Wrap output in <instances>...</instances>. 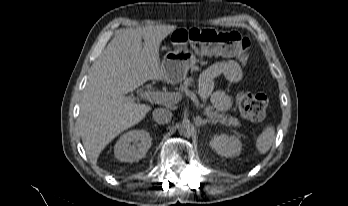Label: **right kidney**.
Returning a JSON list of instances; mask_svg holds the SVG:
<instances>
[{
    "label": "right kidney",
    "instance_id": "ca27d5eb",
    "mask_svg": "<svg viewBox=\"0 0 348 206\" xmlns=\"http://www.w3.org/2000/svg\"><path fill=\"white\" fill-rule=\"evenodd\" d=\"M152 138L145 130H131L124 133L114 147L115 157L122 162L142 159L151 147Z\"/></svg>",
    "mask_w": 348,
    "mask_h": 206
}]
</instances>
